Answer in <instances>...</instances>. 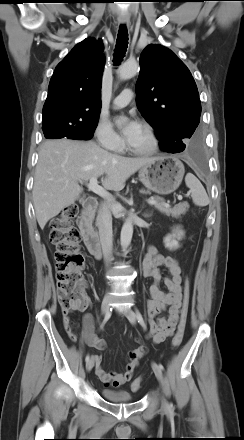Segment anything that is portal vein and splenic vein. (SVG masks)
<instances>
[{"instance_id":"18ae733b","label":"portal vein and splenic vein","mask_w":244,"mask_h":440,"mask_svg":"<svg viewBox=\"0 0 244 440\" xmlns=\"http://www.w3.org/2000/svg\"><path fill=\"white\" fill-rule=\"evenodd\" d=\"M87 187L90 191L94 192L95 194L99 195L102 198H106V199L112 198V195L108 191H106L103 187L98 185L96 177H93L90 179L89 183L87 184ZM187 195H189V194H187ZM182 198H183L182 195H178V200H182ZM147 202L150 205H155L158 203L154 199H148ZM164 205L166 207H169V204H167V203H164Z\"/></svg>"}]
</instances>
